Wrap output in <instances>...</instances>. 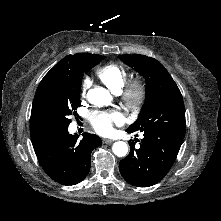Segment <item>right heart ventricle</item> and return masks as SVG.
<instances>
[{"label":"right heart ventricle","mask_w":221,"mask_h":221,"mask_svg":"<svg viewBox=\"0 0 221 221\" xmlns=\"http://www.w3.org/2000/svg\"><path fill=\"white\" fill-rule=\"evenodd\" d=\"M97 77L114 93H120L126 84L127 70L117 64L109 63L96 71Z\"/></svg>","instance_id":"e07e8e85"}]
</instances>
